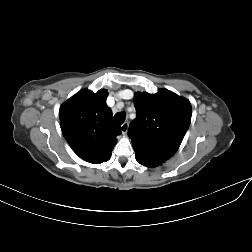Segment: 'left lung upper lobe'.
<instances>
[{
  "label": "left lung upper lobe",
  "instance_id": "1",
  "mask_svg": "<svg viewBox=\"0 0 252 252\" xmlns=\"http://www.w3.org/2000/svg\"><path fill=\"white\" fill-rule=\"evenodd\" d=\"M136 118L128 135L136 154L165 162L178 150L191 122L188 100L160 89L156 94L137 93L134 98Z\"/></svg>",
  "mask_w": 252,
  "mask_h": 252
}]
</instances>
